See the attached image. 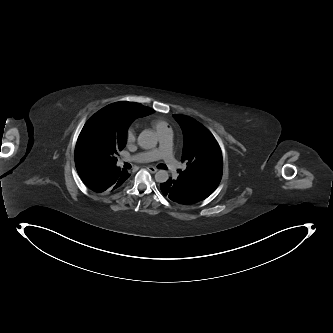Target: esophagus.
<instances>
[{"label": "esophagus", "mask_w": 333, "mask_h": 333, "mask_svg": "<svg viewBox=\"0 0 333 333\" xmlns=\"http://www.w3.org/2000/svg\"><path fill=\"white\" fill-rule=\"evenodd\" d=\"M147 169L151 172V173H155L158 171L157 168L153 167V166H148Z\"/></svg>", "instance_id": "34e87169"}]
</instances>
